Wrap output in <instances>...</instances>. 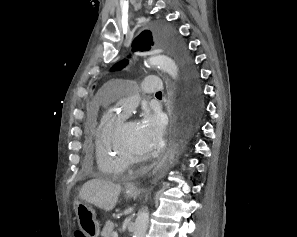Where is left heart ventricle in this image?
<instances>
[{"instance_id":"1","label":"left heart ventricle","mask_w":297,"mask_h":237,"mask_svg":"<svg viewBox=\"0 0 297 237\" xmlns=\"http://www.w3.org/2000/svg\"><path fill=\"white\" fill-rule=\"evenodd\" d=\"M124 139L135 154H147L152 151L142 142L138 132L137 123L134 121L127 123L124 129Z\"/></svg>"}]
</instances>
